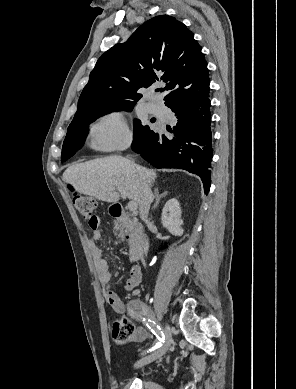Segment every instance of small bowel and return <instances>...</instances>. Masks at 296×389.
Returning a JSON list of instances; mask_svg holds the SVG:
<instances>
[{
    "mask_svg": "<svg viewBox=\"0 0 296 389\" xmlns=\"http://www.w3.org/2000/svg\"><path fill=\"white\" fill-rule=\"evenodd\" d=\"M101 226H102V221L101 219L97 218L96 223L91 226L93 230V237L90 240L89 249L94 259L95 267L99 274V278L101 282L105 285V297L107 302L110 304V306L113 308V310L116 313L122 314L126 309V305L120 299L118 294L113 290H111L108 286L112 278V274L107 261L102 257V250L98 246V242L102 237ZM141 280H142V273L139 266L132 265L130 268L129 278L125 283V289L127 291L136 292V288L141 283ZM146 337H147V332L143 328H136L133 332V335L131 336V341L141 343L145 341Z\"/></svg>",
    "mask_w": 296,
    "mask_h": 389,
    "instance_id": "c3829d8e",
    "label": "small bowel"
}]
</instances>
